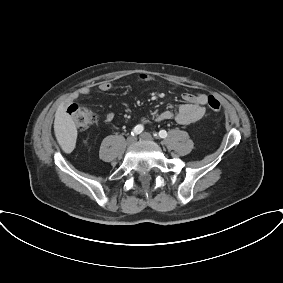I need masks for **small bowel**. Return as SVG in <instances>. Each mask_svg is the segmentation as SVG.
<instances>
[{
  "label": "small bowel",
  "mask_w": 283,
  "mask_h": 283,
  "mask_svg": "<svg viewBox=\"0 0 283 283\" xmlns=\"http://www.w3.org/2000/svg\"><path fill=\"white\" fill-rule=\"evenodd\" d=\"M139 78L142 81H151L153 78L147 74H140ZM100 92H108L112 89L110 82L104 81L98 85ZM91 94V89L88 87L81 88L75 95L74 98L77 99L81 96L86 97ZM183 100L185 101L178 107L176 113H173L170 110H165L157 114L156 119L158 121H166L175 119V121L182 125H189L199 121L205 113V105L207 103L206 94H193L186 92L182 95ZM114 113L108 111L104 114L103 121L105 123H110L114 120ZM144 122H147L144 120Z\"/></svg>",
  "instance_id": "1"
}]
</instances>
